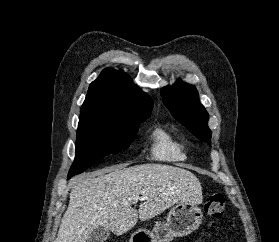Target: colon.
I'll use <instances>...</instances> for the list:
<instances>
[{
  "label": "colon",
  "instance_id": "5ec220e1",
  "mask_svg": "<svg viewBox=\"0 0 279 242\" xmlns=\"http://www.w3.org/2000/svg\"><path fill=\"white\" fill-rule=\"evenodd\" d=\"M205 213L211 220L212 226H217L225 210V197L221 193L210 195L204 204Z\"/></svg>",
  "mask_w": 279,
  "mask_h": 242
}]
</instances>
